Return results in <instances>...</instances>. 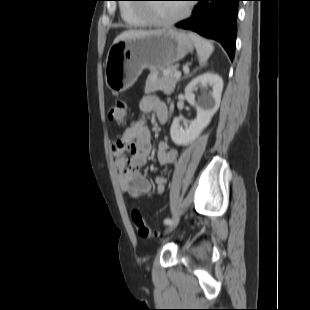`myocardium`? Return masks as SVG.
Instances as JSON below:
<instances>
[{
    "label": "myocardium",
    "mask_w": 310,
    "mask_h": 310,
    "mask_svg": "<svg viewBox=\"0 0 310 310\" xmlns=\"http://www.w3.org/2000/svg\"><path fill=\"white\" fill-rule=\"evenodd\" d=\"M191 11V4H188L180 14H178L177 16L173 17V18H169V19H164V18H158L156 16H154L151 12V10H148V15H149V23L151 25H155V26H170L173 25L181 20H183L184 18H186ZM138 12L143 15V16H147L145 10L143 9H138Z\"/></svg>",
    "instance_id": "myocardium-1"
}]
</instances>
